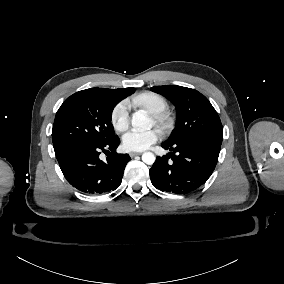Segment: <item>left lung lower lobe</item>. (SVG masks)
<instances>
[{"label": "left lung lower lobe", "instance_id": "1", "mask_svg": "<svg viewBox=\"0 0 284 284\" xmlns=\"http://www.w3.org/2000/svg\"><path fill=\"white\" fill-rule=\"evenodd\" d=\"M162 147L172 152L157 157L149 171L152 184L161 191L186 194L199 188L211 176L221 145L196 139L174 144L165 141Z\"/></svg>", "mask_w": 284, "mask_h": 284}]
</instances>
